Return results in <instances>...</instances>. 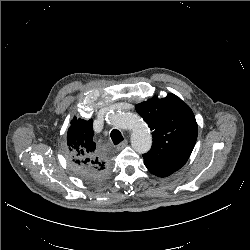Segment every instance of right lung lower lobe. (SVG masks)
<instances>
[{
  "label": "right lung lower lobe",
  "mask_w": 250,
  "mask_h": 250,
  "mask_svg": "<svg viewBox=\"0 0 250 250\" xmlns=\"http://www.w3.org/2000/svg\"><path fill=\"white\" fill-rule=\"evenodd\" d=\"M72 168L81 179H83L84 181H90V182H95V181H99L103 179L109 171L108 168L101 169L100 171L82 170L81 168H79L77 165L73 163H72Z\"/></svg>",
  "instance_id": "right-lung-lower-lobe-1"
}]
</instances>
